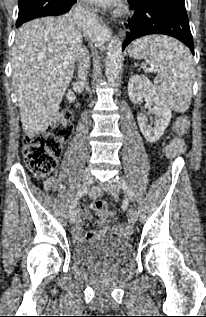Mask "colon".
I'll use <instances>...</instances> for the list:
<instances>
[{"label": "colon", "instance_id": "obj_1", "mask_svg": "<svg viewBox=\"0 0 206 317\" xmlns=\"http://www.w3.org/2000/svg\"><path fill=\"white\" fill-rule=\"evenodd\" d=\"M72 114L62 110L57 118L41 134L26 136L24 140L23 156L26 165L37 178L49 175L57 164V159L62 152L63 144L71 134ZM189 120L186 116H179L174 123V137L166 147V155L170 158L177 157L185 152L186 145L183 136L189 131ZM96 212L104 217L107 222L115 220V214L108 211L107 204L98 200L94 204ZM117 232L122 236L131 233V228L126 223L116 226Z\"/></svg>", "mask_w": 206, "mask_h": 317}]
</instances>
